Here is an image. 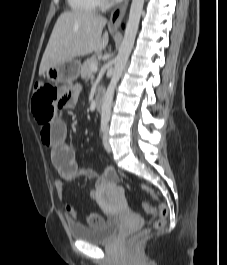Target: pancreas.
<instances>
[{
	"label": "pancreas",
	"mask_w": 227,
	"mask_h": 265,
	"mask_svg": "<svg viewBox=\"0 0 227 265\" xmlns=\"http://www.w3.org/2000/svg\"><path fill=\"white\" fill-rule=\"evenodd\" d=\"M99 60L96 56H92L86 61H84L83 65L81 66L80 73L82 78H88L91 76V67L93 65H98Z\"/></svg>",
	"instance_id": "pancreas-1"
}]
</instances>
